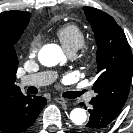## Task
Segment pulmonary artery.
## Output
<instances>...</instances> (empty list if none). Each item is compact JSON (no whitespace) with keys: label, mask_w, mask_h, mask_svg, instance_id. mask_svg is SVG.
Wrapping results in <instances>:
<instances>
[{"label":"pulmonary artery","mask_w":133,"mask_h":133,"mask_svg":"<svg viewBox=\"0 0 133 133\" xmlns=\"http://www.w3.org/2000/svg\"><path fill=\"white\" fill-rule=\"evenodd\" d=\"M72 56V54H70ZM56 78V74L51 71L40 72L32 75H27L21 78L20 86H44L52 83ZM94 96L93 93L87 95L86 100L90 101Z\"/></svg>","instance_id":"e3ab8cb5"}]
</instances>
